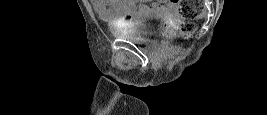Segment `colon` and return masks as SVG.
Returning <instances> with one entry per match:
<instances>
[{
	"label": "colon",
	"mask_w": 267,
	"mask_h": 115,
	"mask_svg": "<svg viewBox=\"0 0 267 115\" xmlns=\"http://www.w3.org/2000/svg\"><path fill=\"white\" fill-rule=\"evenodd\" d=\"M171 2L178 3L180 15L184 19H187V21L168 27L163 34L165 40L191 34L195 28L193 21L199 17L203 11V5L200 0H171ZM130 17L131 15L127 13L126 18Z\"/></svg>",
	"instance_id": "5ec220e1"
}]
</instances>
